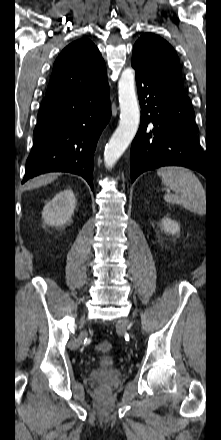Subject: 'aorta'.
Segmentation results:
<instances>
[{
    "label": "aorta",
    "instance_id": "762f6f07",
    "mask_svg": "<svg viewBox=\"0 0 221 440\" xmlns=\"http://www.w3.org/2000/svg\"><path fill=\"white\" fill-rule=\"evenodd\" d=\"M120 121L104 152L107 168H112L133 140L140 122V109L135 92V71L126 68L118 82Z\"/></svg>",
    "mask_w": 221,
    "mask_h": 440
}]
</instances>
